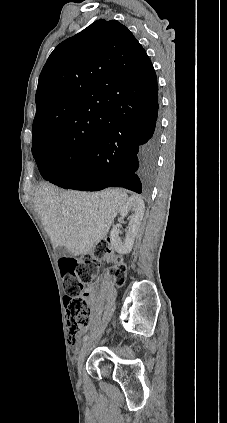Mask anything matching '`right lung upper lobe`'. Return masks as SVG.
I'll return each mask as SVG.
<instances>
[{"instance_id": "cb5924a9", "label": "right lung upper lobe", "mask_w": 227, "mask_h": 423, "mask_svg": "<svg viewBox=\"0 0 227 423\" xmlns=\"http://www.w3.org/2000/svg\"><path fill=\"white\" fill-rule=\"evenodd\" d=\"M157 90L144 48L115 20H97L60 43L38 81L32 142L57 137L73 147L92 145L118 125L108 109Z\"/></svg>"}]
</instances>
